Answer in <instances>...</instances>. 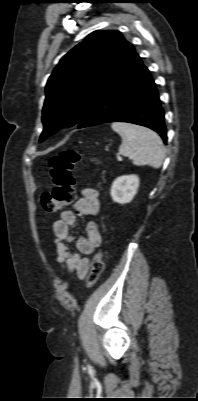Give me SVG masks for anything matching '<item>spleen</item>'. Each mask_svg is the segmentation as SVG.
<instances>
[{
  "label": "spleen",
  "instance_id": "1",
  "mask_svg": "<svg viewBox=\"0 0 198 401\" xmlns=\"http://www.w3.org/2000/svg\"><path fill=\"white\" fill-rule=\"evenodd\" d=\"M111 127L122 138L119 154L130 157L137 166L149 165L157 169L162 165L165 147L157 133L123 122H114Z\"/></svg>",
  "mask_w": 198,
  "mask_h": 401
}]
</instances>
